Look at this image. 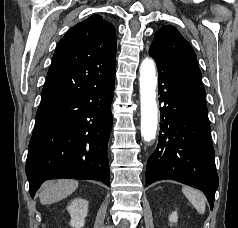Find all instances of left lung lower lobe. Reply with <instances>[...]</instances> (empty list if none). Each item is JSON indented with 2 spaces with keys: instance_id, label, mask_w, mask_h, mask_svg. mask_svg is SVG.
I'll list each match as a JSON object with an SVG mask.
<instances>
[{
  "instance_id": "0a47b994",
  "label": "left lung lower lobe",
  "mask_w": 238,
  "mask_h": 228,
  "mask_svg": "<svg viewBox=\"0 0 238 228\" xmlns=\"http://www.w3.org/2000/svg\"><path fill=\"white\" fill-rule=\"evenodd\" d=\"M159 82L160 133L149 157L147 187L171 179L203 191L214 205L218 188L215 152L210 135L205 90L156 61Z\"/></svg>"
}]
</instances>
